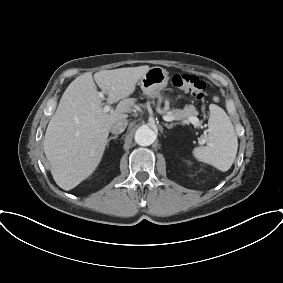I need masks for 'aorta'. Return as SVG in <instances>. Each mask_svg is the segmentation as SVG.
<instances>
[{"mask_svg": "<svg viewBox=\"0 0 283 283\" xmlns=\"http://www.w3.org/2000/svg\"><path fill=\"white\" fill-rule=\"evenodd\" d=\"M155 132L147 125H142L135 132V142L140 146H149L156 140Z\"/></svg>", "mask_w": 283, "mask_h": 283, "instance_id": "762f6f07", "label": "aorta"}]
</instances>
